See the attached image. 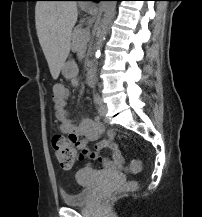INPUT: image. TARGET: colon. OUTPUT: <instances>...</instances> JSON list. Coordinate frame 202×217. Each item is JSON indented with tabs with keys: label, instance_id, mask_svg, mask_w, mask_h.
<instances>
[{
	"label": "colon",
	"instance_id": "1",
	"mask_svg": "<svg viewBox=\"0 0 202 217\" xmlns=\"http://www.w3.org/2000/svg\"><path fill=\"white\" fill-rule=\"evenodd\" d=\"M52 147L54 154L64 169H71L78 159L84 156V151L79 150L76 146L60 134H54L52 137ZM142 169V162L139 159H133L127 167V171L130 173H138ZM135 187V184L132 185Z\"/></svg>",
	"mask_w": 202,
	"mask_h": 217
}]
</instances>
